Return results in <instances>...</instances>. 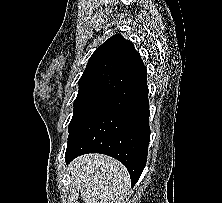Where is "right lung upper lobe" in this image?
<instances>
[{
    "label": "right lung upper lobe",
    "instance_id": "1",
    "mask_svg": "<svg viewBox=\"0 0 222 203\" xmlns=\"http://www.w3.org/2000/svg\"><path fill=\"white\" fill-rule=\"evenodd\" d=\"M145 70L133 43L116 34L90 57L79 80V91L97 89L114 93Z\"/></svg>",
    "mask_w": 222,
    "mask_h": 203
}]
</instances>
